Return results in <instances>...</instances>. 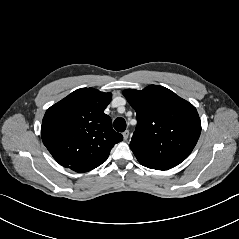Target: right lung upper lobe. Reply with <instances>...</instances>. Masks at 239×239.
Wrapping results in <instances>:
<instances>
[{"instance_id":"cb5924a9","label":"right lung upper lobe","mask_w":239,"mask_h":239,"mask_svg":"<svg viewBox=\"0 0 239 239\" xmlns=\"http://www.w3.org/2000/svg\"><path fill=\"white\" fill-rule=\"evenodd\" d=\"M111 93L94 88L75 90L45 113L41 136L53 158L62 166L83 173L104 163L123 136L104 113Z\"/></svg>"}]
</instances>
